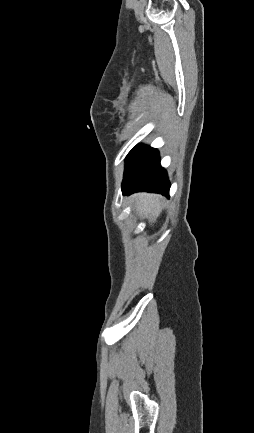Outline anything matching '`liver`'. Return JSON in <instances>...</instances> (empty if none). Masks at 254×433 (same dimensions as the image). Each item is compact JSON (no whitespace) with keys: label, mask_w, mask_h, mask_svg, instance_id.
<instances>
[{"label":"liver","mask_w":254,"mask_h":433,"mask_svg":"<svg viewBox=\"0 0 254 433\" xmlns=\"http://www.w3.org/2000/svg\"><path fill=\"white\" fill-rule=\"evenodd\" d=\"M136 207L141 215L149 219V222H155L159 216L163 202L157 195H139L136 197Z\"/></svg>","instance_id":"6515ba94"}]
</instances>
